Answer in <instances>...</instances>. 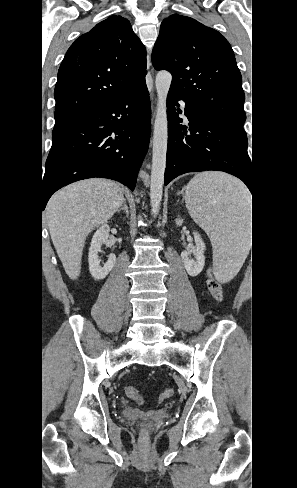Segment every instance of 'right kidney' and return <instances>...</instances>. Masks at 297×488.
Listing matches in <instances>:
<instances>
[{
	"label": "right kidney",
	"instance_id": "ca27d5eb",
	"mask_svg": "<svg viewBox=\"0 0 297 488\" xmlns=\"http://www.w3.org/2000/svg\"><path fill=\"white\" fill-rule=\"evenodd\" d=\"M110 227L108 224L102 225L95 233L91 240V246L88 253L89 271L96 280L105 278L113 269L116 263L115 254L108 255V260L103 267L99 266L98 252L101 250L103 243H106L109 237Z\"/></svg>",
	"mask_w": 297,
	"mask_h": 488
}]
</instances>
